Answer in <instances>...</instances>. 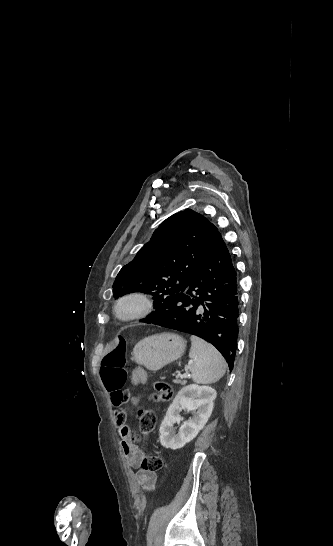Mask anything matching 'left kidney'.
Segmentation results:
<instances>
[{
    "instance_id": "5707ae66",
    "label": "left kidney",
    "mask_w": 333,
    "mask_h": 546,
    "mask_svg": "<svg viewBox=\"0 0 333 546\" xmlns=\"http://www.w3.org/2000/svg\"><path fill=\"white\" fill-rule=\"evenodd\" d=\"M215 398L216 391L209 386L189 384L183 387L169 406L161 423V445L176 450L193 440L211 416ZM182 410L193 411L194 415L181 425L176 434L173 425L183 420L180 416Z\"/></svg>"
}]
</instances>
